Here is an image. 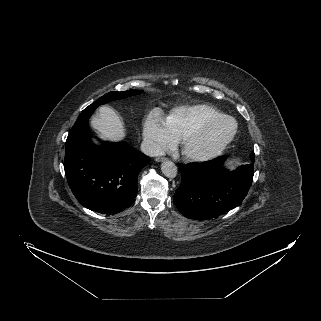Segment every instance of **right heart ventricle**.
Returning <instances> with one entry per match:
<instances>
[{
    "label": "right heart ventricle",
    "mask_w": 321,
    "mask_h": 321,
    "mask_svg": "<svg viewBox=\"0 0 321 321\" xmlns=\"http://www.w3.org/2000/svg\"><path fill=\"white\" fill-rule=\"evenodd\" d=\"M222 115L224 114L219 109L210 104L185 105L172 109L164 118V124L175 140H181L203 121Z\"/></svg>",
    "instance_id": "e07e8e85"
}]
</instances>
